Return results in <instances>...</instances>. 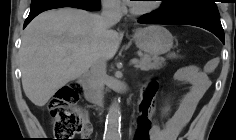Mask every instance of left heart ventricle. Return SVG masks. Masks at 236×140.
I'll list each match as a JSON object with an SVG mask.
<instances>
[{
	"label": "left heart ventricle",
	"instance_id": "b2bd125f",
	"mask_svg": "<svg viewBox=\"0 0 236 140\" xmlns=\"http://www.w3.org/2000/svg\"><path fill=\"white\" fill-rule=\"evenodd\" d=\"M140 2H147V1H140ZM135 5H137L139 7H143V6L149 5V3H136Z\"/></svg>",
	"mask_w": 236,
	"mask_h": 140
}]
</instances>
